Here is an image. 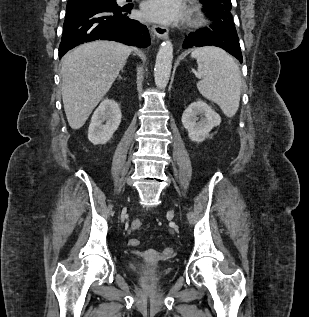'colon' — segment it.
Returning a JSON list of instances; mask_svg holds the SVG:
<instances>
[{
	"label": "colon",
	"instance_id": "1",
	"mask_svg": "<svg viewBox=\"0 0 309 317\" xmlns=\"http://www.w3.org/2000/svg\"><path fill=\"white\" fill-rule=\"evenodd\" d=\"M141 226H142V222L139 219H135L131 223L132 230H138L141 228ZM139 243L140 242L138 239H130L129 240V245L133 246V247L138 246ZM169 252H170V250H166V253H169Z\"/></svg>",
	"mask_w": 309,
	"mask_h": 317
}]
</instances>
